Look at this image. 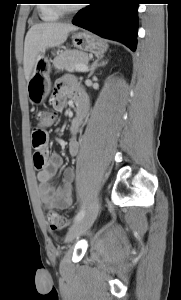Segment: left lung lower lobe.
<instances>
[{
	"mask_svg": "<svg viewBox=\"0 0 181 300\" xmlns=\"http://www.w3.org/2000/svg\"><path fill=\"white\" fill-rule=\"evenodd\" d=\"M138 1L87 0L90 5L81 9L72 23L103 38L122 42L135 51Z\"/></svg>",
	"mask_w": 181,
	"mask_h": 300,
	"instance_id": "obj_1",
	"label": "left lung lower lobe"
}]
</instances>
